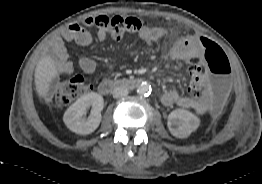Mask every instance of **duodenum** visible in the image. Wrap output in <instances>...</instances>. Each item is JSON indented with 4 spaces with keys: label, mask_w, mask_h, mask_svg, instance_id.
<instances>
[{
    "label": "duodenum",
    "mask_w": 262,
    "mask_h": 184,
    "mask_svg": "<svg viewBox=\"0 0 262 184\" xmlns=\"http://www.w3.org/2000/svg\"><path fill=\"white\" fill-rule=\"evenodd\" d=\"M143 82L144 80L142 78L106 79L98 85V90L102 95H108L116 88H133Z\"/></svg>",
    "instance_id": "410a0bca"
}]
</instances>
